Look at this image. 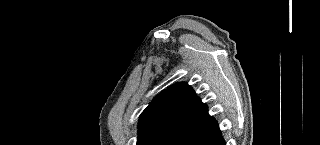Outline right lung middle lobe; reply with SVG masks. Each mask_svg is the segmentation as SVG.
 <instances>
[{"mask_svg": "<svg viewBox=\"0 0 320 145\" xmlns=\"http://www.w3.org/2000/svg\"><path fill=\"white\" fill-rule=\"evenodd\" d=\"M174 136V134L152 136L138 145H167Z\"/></svg>", "mask_w": 320, "mask_h": 145, "instance_id": "1", "label": "right lung middle lobe"}]
</instances>
